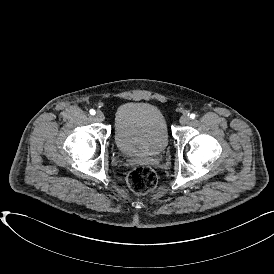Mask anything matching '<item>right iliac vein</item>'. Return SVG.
<instances>
[{"label": "right iliac vein", "instance_id": "1", "mask_svg": "<svg viewBox=\"0 0 274 274\" xmlns=\"http://www.w3.org/2000/svg\"><path fill=\"white\" fill-rule=\"evenodd\" d=\"M95 119L99 122H102L105 119V115L103 114V112L97 111L95 114Z\"/></svg>", "mask_w": 274, "mask_h": 274}]
</instances>
